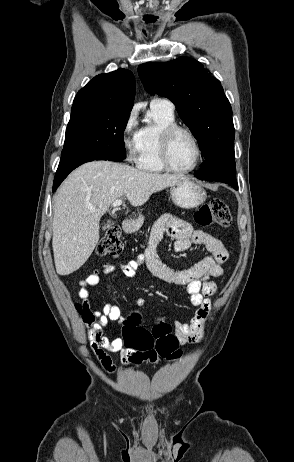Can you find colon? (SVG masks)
I'll return each instance as SVG.
<instances>
[{
	"instance_id": "obj_1",
	"label": "colon",
	"mask_w": 294,
	"mask_h": 462,
	"mask_svg": "<svg viewBox=\"0 0 294 462\" xmlns=\"http://www.w3.org/2000/svg\"><path fill=\"white\" fill-rule=\"evenodd\" d=\"M195 222L200 226L218 225L228 227L232 216L226 203L221 199H213L202 205L194 215ZM118 226H111L97 245L100 256L118 257L122 253L123 244ZM81 311V305H77ZM122 336L127 347L146 354L148 361L158 358L175 359L181 356L179 341L172 332V327L163 321L154 325L151 331L141 326V320L134 315L124 320Z\"/></svg>"
}]
</instances>
